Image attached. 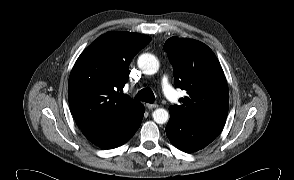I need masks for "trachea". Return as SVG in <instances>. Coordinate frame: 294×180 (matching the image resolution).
I'll use <instances>...</instances> for the list:
<instances>
[{
  "instance_id": "1",
  "label": "trachea",
  "mask_w": 294,
  "mask_h": 180,
  "mask_svg": "<svg viewBox=\"0 0 294 180\" xmlns=\"http://www.w3.org/2000/svg\"><path fill=\"white\" fill-rule=\"evenodd\" d=\"M136 99L152 104L155 101V96L150 88H144L137 93Z\"/></svg>"
}]
</instances>
